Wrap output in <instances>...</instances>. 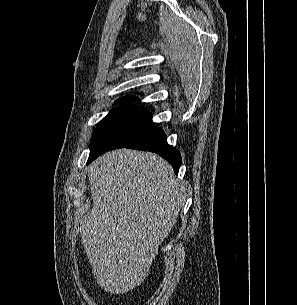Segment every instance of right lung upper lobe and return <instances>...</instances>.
<instances>
[{
    "mask_svg": "<svg viewBox=\"0 0 297 305\" xmlns=\"http://www.w3.org/2000/svg\"><path fill=\"white\" fill-rule=\"evenodd\" d=\"M122 99H129V100H135V98L133 96H126V97H123L119 100H122Z\"/></svg>",
    "mask_w": 297,
    "mask_h": 305,
    "instance_id": "cb5924a9",
    "label": "right lung upper lobe"
}]
</instances>
